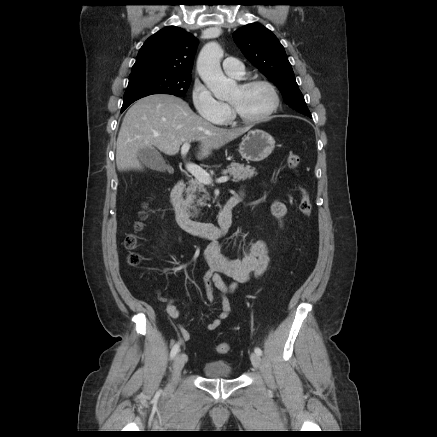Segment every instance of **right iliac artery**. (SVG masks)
<instances>
[{"label": "right iliac artery", "mask_w": 437, "mask_h": 437, "mask_svg": "<svg viewBox=\"0 0 437 437\" xmlns=\"http://www.w3.org/2000/svg\"><path fill=\"white\" fill-rule=\"evenodd\" d=\"M179 347H180V344H179V343H176V344L172 347V350H171V353H170V357H171V359H173V358L176 356V354H177L178 351H179Z\"/></svg>", "instance_id": "right-iliac-artery-1"}]
</instances>
